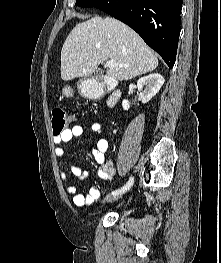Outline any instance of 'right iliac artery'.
Instances as JSON below:
<instances>
[{
  "instance_id": "1",
  "label": "right iliac artery",
  "mask_w": 221,
  "mask_h": 263,
  "mask_svg": "<svg viewBox=\"0 0 221 263\" xmlns=\"http://www.w3.org/2000/svg\"><path fill=\"white\" fill-rule=\"evenodd\" d=\"M133 177H130L129 181L126 183V185H124L122 188L117 189L115 191L112 192V194L117 195V194H122L125 193L127 190H129L133 184Z\"/></svg>"
}]
</instances>
